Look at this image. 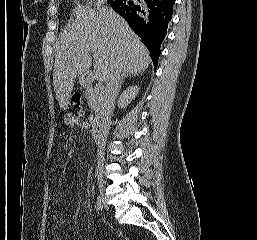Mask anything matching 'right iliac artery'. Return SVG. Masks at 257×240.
I'll use <instances>...</instances> for the list:
<instances>
[{
    "instance_id": "right-iliac-artery-1",
    "label": "right iliac artery",
    "mask_w": 257,
    "mask_h": 240,
    "mask_svg": "<svg viewBox=\"0 0 257 240\" xmlns=\"http://www.w3.org/2000/svg\"><path fill=\"white\" fill-rule=\"evenodd\" d=\"M96 206H97V210H102L103 209V202L100 196L97 197L96 200Z\"/></svg>"
}]
</instances>
